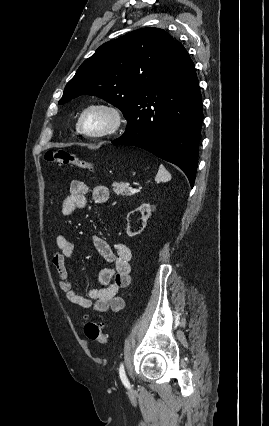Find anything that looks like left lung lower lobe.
I'll list each match as a JSON object with an SVG mask.
<instances>
[{
  "instance_id": "obj_1",
  "label": "left lung lower lobe",
  "mask_w": 269,
  "mask_h": 426,
  "mask_svg": "<svg viewBox=\"0 0 269 426\" xmlns=\"http://www.w3.org/2000/svg\"><path fill=\"white\" fill-rule=\"evenodd\" d=\"M124 134L114 144L143 148L180 167L194 185L203 120L194 64L175 41L150 79L149 89L130 106Z\"/></svg>"
}]
</instances>
